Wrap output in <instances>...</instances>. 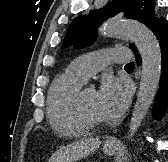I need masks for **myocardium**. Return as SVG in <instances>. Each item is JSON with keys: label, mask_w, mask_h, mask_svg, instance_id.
<instances>
[{"label": "myocardium", "mask_w": 168, "mask_h": 162, "mask_svg": "<svg viewBox=\"0 0 168 162\" xmlns=\"http://www.w3.org/2000/svg\"><path fill=\"white\" fill-rule=\"evenodd\" d=\"M86 89H82L77 92L74 102H73V109L76 118L79 120V122L85 126L87 129H92V128H98L104 125L103 122L93 120L90 118L84 108V103H83V96L84 92Z\"/></svg>", "instance_id": "obj_1"}]
</instances>
